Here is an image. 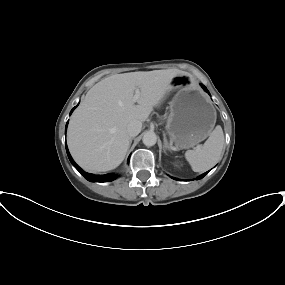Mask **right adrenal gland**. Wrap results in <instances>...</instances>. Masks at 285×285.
Masks as SVG:
<instances>
[{
  "instance_id": "1",
  "label": "right adrenal gland",
  "mask_w": 285,
  "mask_h": 285,
  "mask_svg": "<svg viewBox=\"0 0 285 285\" xmlns=\"http://www.w3.org/2000/svg\"><path fill=\"white\" fill-rule=\"evenodd\" d=\"M133 139H134V138H130L129 148H130V146H131V143H132Z\"/></svg>"
}]
</instances>
